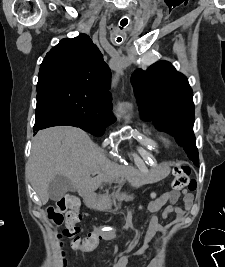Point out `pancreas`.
I'll return each instance as SVG.
<instances>
[{"mask_svg": "<svg viewBox=\"0 0 225 267\" xmlns=\"http://www.w3.org/2000/svg\"><path fill=\"white\" fill-rule=\"evenodd\" d=\"M129 197L130 196H127L125 194H119V191H117L116 193H113L111 196H108V195L100 196L97 204L101 210H110L112 207V204L116 203V200L121 201Z\"/></svg>", "mask_w": 225, "mask_h": 267, "instance_id": "obj_1", "label": "pancreas"}]
</instances>
